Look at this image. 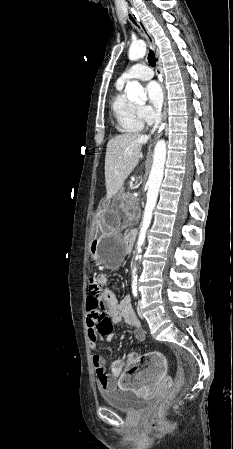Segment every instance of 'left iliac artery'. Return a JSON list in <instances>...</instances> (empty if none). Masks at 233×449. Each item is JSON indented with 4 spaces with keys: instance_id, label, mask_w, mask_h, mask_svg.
Instances as JSON below:
<instances>
[{
    "instance_id": "44dca946",
    "label": "left iliac artery",
    "mask_w": 233,
    "mask_h": 449,
    "mask_svg": "<svg viewBox=\"0 0 233 449\" xmlns=\"http://www.w3.org/2000/svg\"><path fill=\"white\" fill-rule=\"evenodd\" d=\"M132 293H133L134 297H137V287H136V285L132 286Z\"/></svg>"
}]
</instances>
